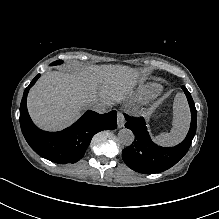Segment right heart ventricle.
I'll list each match as a JSON object with an SVG mask.
<instances>
[{"label": "right heart ventricle", "instance_id": "1", "mask_svg": "<svg viewBox=\"0 0 219 219\" xmlns=\"http://www.w3.org/2000/svg\"><path fill=\"white\" fill-rule=\"evenodd\" d=\"M156 90H157L156 86H150V87L145 88L142 93L144 95H148V94L154 93Z\"/></svg>", "mask_w": 219, "mask_h": 219}]
</instances>
